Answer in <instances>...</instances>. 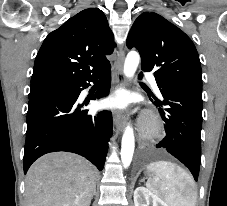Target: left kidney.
Returning <instances> with one entry per match:
<instances>
[{
	"instance_id": "1",
	"label": "left kidney",
	"mask_w": 227,
	"mask_h": 206,
	"mask_svg": "<svg viewBox=\"0 0 227 206\" xmlns=\"http://www.w3.org/2000/svg\"><path fill=\"white\" fill-rule=\"evenodd\" d=\"M168 206L160 197L146 187H137L134 191V205L135 206Z\"/></svg>"
}]
</instances>
